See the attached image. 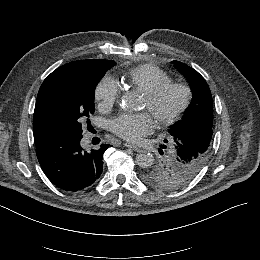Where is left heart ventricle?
<instances>
[{
	"label": "left heart ventricle",
	"mask_w": 260,
	"mask_h": 260,
	"mask_svg": "<svg viewBox=\"0 0 260 260\" xmlns=\"http://www.w3.org/2000/svg\"><path fill=\"white\" fill-rule=\"evenodd\" d=\"M183 101V94L179 90L170 91L165 98L153 109L148 108V102L143 95V108L150 113L154 123L174 112Z\"/></svg>",
	"instance_id": "obj_1"
}]
</instances>
